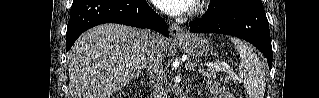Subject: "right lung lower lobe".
<instances>
[{
	"label": "right lung lower lobe",
	"instance_id": "obj_1",
	"mask_svg": "<svg viewBox=\"0 0 319 98\" xmlns=\"http://www.w3.org/2000/svg\"><path fill=\"white\" fill-rule=\"evenodd\" d=\"M102 23L150 28L169 37L166 23L145 0H73L66 51L84 31Z\"/></svg>",
	"mask_w": 319,
	"mask_h": 98
}]
</instances>
